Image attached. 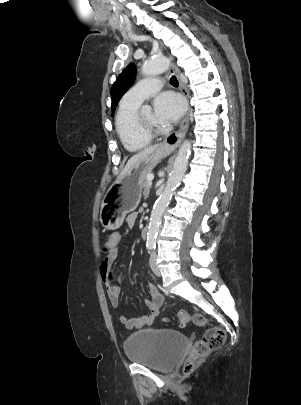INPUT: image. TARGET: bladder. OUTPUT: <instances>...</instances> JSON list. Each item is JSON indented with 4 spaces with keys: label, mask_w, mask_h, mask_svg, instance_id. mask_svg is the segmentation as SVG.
Masks as SVG:
<instances>
[{
    "label": "bladder",
    "mask_w": 301,
    "mask_h": 405,
    "mask_svg": "<svg viewBox=\"0 0 301 405\" xmlns=\"http://www.w3.org/2000/svg\"><path fill=\"white\" fill-rule=\"evenodd\" d=\"M186 345V337L180 332L145 329L127 337L124 351L132 363L167 372L176 365Z\"/></svg>",
    "instance_id": "1"
}]
</instances>
